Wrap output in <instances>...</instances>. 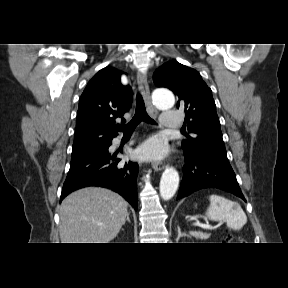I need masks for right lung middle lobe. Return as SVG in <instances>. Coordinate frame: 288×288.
I'll list each match as a JSON object with an SVG mask.
<instances>
[{"label": "right lung middle lobe", "mask_w": 288, "mask_h": 288, "mask_svg": "<svg viewBox=\"0 0 288 288\" xmlns=\"http://www.w3.org/2000/svg\"><path fill=\"white\" fill-rule=\"evenodd\" d=\"M97 149H99V148H97ZM94 150H96V149H80V150H74V151H72V158H71V160L78 159V158H80V157H82V156H84V155H86V154H88V153H90V152H92V151H94Z\"/></svg>", "instance_id": "dd1d6c3e"}]
</instances>
